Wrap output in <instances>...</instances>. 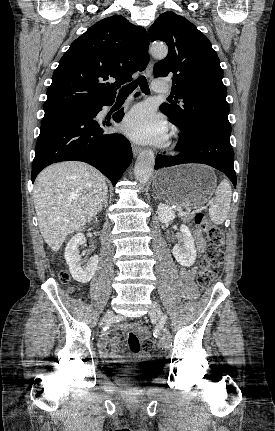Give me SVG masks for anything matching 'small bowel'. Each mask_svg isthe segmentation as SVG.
Returning a JSON list of instances; mask_svg holds the SVG:
<instances>
[{
    "label": "small bowel",
    "instance_id": "small-bowel-1",
    "mask_svg": "<svg viewBox=\"0 0 275 431\" xmlns=\"http://www.w3.org/2000/svg\"><path fill=\"white\" fill-rule=\"evenodd\" d=\"M193 236L196 241V247L199 253L203 252L205 248V240L203 236L197 230L193 231ZM194 268H185L182 267L179 269V277H180V286L183 296L186 299L192 300L197 297V290L194 283ZM121 329H133L139 333L141 338L145 340H149L150 333L149 331L140 325H121ZM119 338L117 336H109L104 335L99 341V349L100 353L104 358L108 359H116L119 357L118 354V345ZM110 349V350H109Z\"/></svg>",
    "mask_w": 275,
    "mask_h": 431
}]
</instances>
